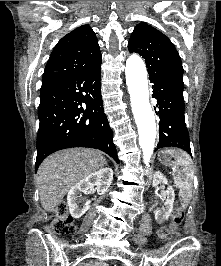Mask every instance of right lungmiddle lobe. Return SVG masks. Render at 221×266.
Here are the masks:
<instances>
[{
    "mask_svg": "<svg viewBox=\"0 0 221 266\" xmlns=\"http://www.w3.org/2000/svg\"><path fill=\"white\" fill-rule=\"evenodd\" d=\"M50 88H51V87H41V93H43V92L49 90ZM41 93H40V94H41Z\"/></svg>",
    "mask_w": 221,
    "mask_h": 266,
    "instance_id": "obj_1",
    "label": "right lung middle lobe"
}]
</instances>
